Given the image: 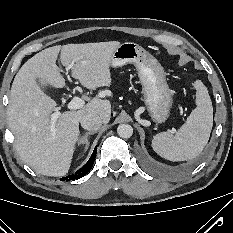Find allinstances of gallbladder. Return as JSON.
<instances>
[{
  "label": "gallbladder",
  "instance_id": "1",
  "mask_svg": "<svg viewBox=\"0 0 233 233\" xmlns=\"http://www.w3.org/2000/svg\"><path fill=\"white\" fill-rule=\"evenodd\" d=\"M38 82H39V84H40L41 86H43V83H42L40 80H38Z\"/></svg>",
  "mask_w": 233,
  "mask_h": 233
}]
</instances>
